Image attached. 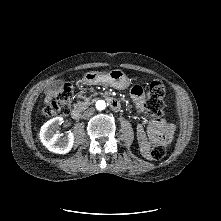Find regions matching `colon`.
I'll return each mask as SVG.
<instances>
[{
	"mask_svg": "<svg viewBox=\"0 0 221 221\" xmlns=\"http://www.w3.org/2000/svg\"><path fill=\"white\" fill-rule=\"evenodd\" d=\"M147 94L146 107L148 111L153 115H161L164 110L166 94L164 83L159 79L151 81ZM72 98L71 87L65 86L58 94L57 99L43 108V114L47 117L67 115L71 110ZM165 154V143H158L149 150V157L154 160L162 159Z\"/></svg>",
	"mask_w": 221,
	"mask_h": 221,
	"instance_id": "1",
	"label": "colon"
}]
</instances>
